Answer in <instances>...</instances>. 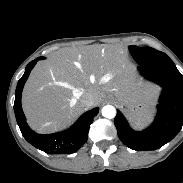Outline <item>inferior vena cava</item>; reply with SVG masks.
I'll return each instance as SVG.
<instances>
[{"instance_id":"inferior-vena-cava-1","label":"inferior vena cava","mask_w":183,"mask_h":183,"mask_svg":"<svg viewBox=\"0 0 183 183\" xmlns=\"http://www.w3.org/2000/svg\"><path fill=\"white\" fill-rule=\"evenodd\" d=\"M80 101L85 107H90L94 103V94L92 92H84L80 97Z\"/></svg>"}]
</instances>
